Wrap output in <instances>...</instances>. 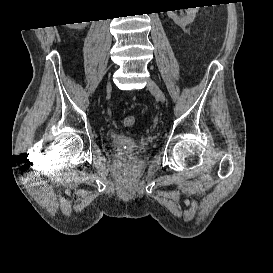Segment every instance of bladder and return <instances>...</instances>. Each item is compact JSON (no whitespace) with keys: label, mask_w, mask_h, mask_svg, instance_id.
<instances>
[{"label":"bladder","mask_w":273,"mask_h":273,"mask_svg":"<svg viewBox=\"0 0 273 273\" xmlns=\"http://www.w3.org/2000/svg\"><path fill=\"white\" fill-rule=\"evenodd\" d=\"M141 143L134 137L125 133H115L111 138V147L120 154H134Z\"/></svg>","instance_id":"obj_1"}]
</instances>
